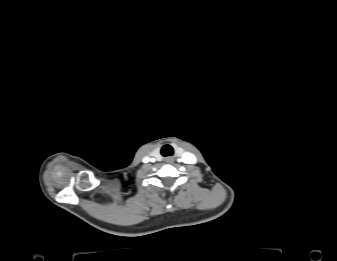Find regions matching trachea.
<instances>
[{
    "mask_svg": "<svg viewBox=\"0 0 337 261\" xmlns=\"http://www.w3.org/2000/svg\"><path fill=\"white\" fill-rule=\"evenodd\" d=\"M161 154L163 156H170L172 155V147L170 145H164L161 149Z\"/></svg>",
    "mask_w": 337,
    "mask_h": 261,
    "instance_id": "3493384b",
    "label": "trachea"
}]
</instances>
